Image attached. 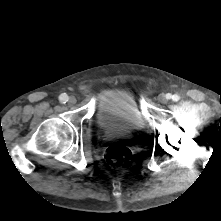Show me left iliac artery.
Wrapping results in <instances>:
<instances>
[{"instance_id":"obj_1","label":"left iliac artery","mask_w":221,"mask_h":221,"mask_svg":"<svg viewBox=\"0 0 221 221\" xmlns=\"http://www.w3.org/2000/svg\"><path fill=\"white\" fill-rule=\"evenodd\" d=\"M166 96L168 99L172 98L173 101H178L180 99V97L177 94L171 95V96H170V94H167Z\"/></svg>"}]
</instances>
